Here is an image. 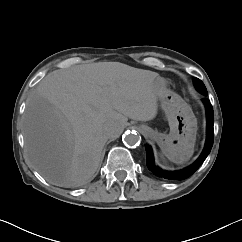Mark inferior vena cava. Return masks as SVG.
Segmentation results:
<instances>
[{
  "mask_svg": "<svg viewBox=\"0 0 242 242\" xmlns=\"http://www.w3.org/2000/svg\"><path fill=\"white\" fill-rule=\"evenodd\" d=\"M122 130V123L119 120H113L107 127H106V134L110 138H116L120 135Z\"/></svg>",
  "mask_w": 242,
  "mask_h": 242,
  "instance_id": "602c4592",
  "label": "inferior vena cava"
}]
</instances>
